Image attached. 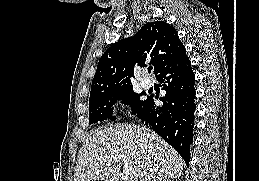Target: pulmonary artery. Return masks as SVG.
<instances>
[{
  "label": "pulmonary artery",
  "mask_w": 259,
  "mask_h": 181,
  "mask_svg": "<svg viewBox=\"0 0 259 181\" xmlns=\"http://www.w3.org/2000/svg\"><path fill=\"white\" fill-rule=\"evenodd\" d=\"M141 85L144 88L148 89V88H150L152 86V81L149 80V79H141Z\"/></svg>",
  "instance_id": "e3ab8cb5"
}]
</instances>
